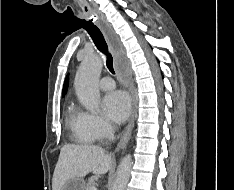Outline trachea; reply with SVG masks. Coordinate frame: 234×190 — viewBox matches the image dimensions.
<instances>
[{
    "label": "trachea",
    "instance_id": "obj_1",
    "mask_svg": "<svg viewBox=\"0 0 234 190\" xmlns=\"http://www.w3.org/2000/svg\"><path fill=\"white\" fill-rule=\"evenodd\" d=\"M83 28L89 33L97 49L106 55L107 68L112 74H114L115 72L113 68V58L108 51L107 43L100 29L93 23H90L89 25H85L83 26Z\"/></svg>",
    "mask_w": 234,
    "mask_h": 190
}]
</instances>
